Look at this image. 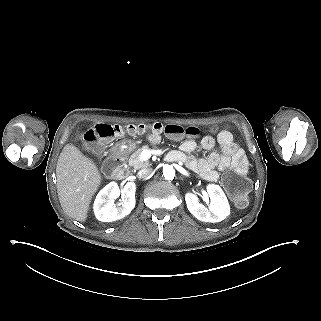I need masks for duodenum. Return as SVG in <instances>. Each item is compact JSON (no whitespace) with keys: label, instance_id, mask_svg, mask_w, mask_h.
<instances>
[{"label":"duodenum","instance_id":"duodenum-1","mask_svg":"<svg viewBox=\"0 0 321 321\" xmlns=\"http://www.w3.org/2000/svg\"><path fill=\"white\" fill-rule=\"evenodd\" d=\"M167 161H177L175 153H169L166 156ZM104 172L112 178H119L124 172V155L119 148H114L107 157L104 166Z\"/></svg>","mask_w":321,"mask_h":321}]
</instances>
